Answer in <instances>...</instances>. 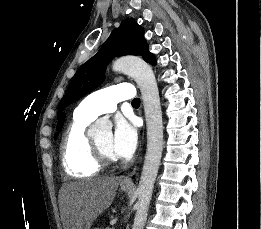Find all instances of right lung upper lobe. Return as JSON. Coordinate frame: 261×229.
Returning a JSON list of instances; mask_svg holds the SVG:
<instances>
[{"label": "right lung upper lobe", "instance_id": "obj_1", "mask_svg": "<svg viewBox=\"0 0 261 229\" xmlns=\"http://www.w3.org/2000/svg\"><path fill=\"white\" fill-rule=\"evenodd\" d=\"M63 122H64V114L61 116L57 126L63 125Z\"/></svg>", "mask_w": 261, "mask_h": 229}]
</instances>
